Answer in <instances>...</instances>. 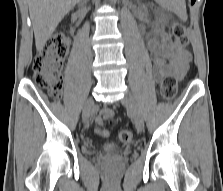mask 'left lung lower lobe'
I'll list each match as a JSON object with an SVG mask.
<instances>
[{"label":"left lung lower lobe","mask_w":223,"mask_h":191,"mask_svg":"<svg viewBox=\"0 0 223 191\" xmlns=\"http://www.w3.org/2000/svg\"><path fill=\"white\" fill-rule=\"evenodd\" d=\"M195 2V0H192V3H194Z\"/></svg>","instance_id":"left-lung-lower-lobe-1"}]
</instances>
